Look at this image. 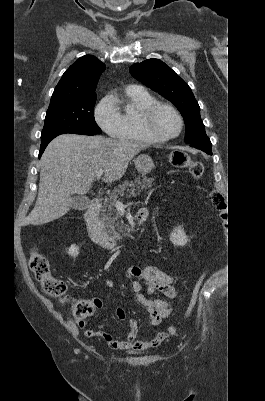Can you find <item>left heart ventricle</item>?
I'll list each match as a JSON object with an SVG mask.
<instances>
[{
    "instance_id": "1",
    "label": "left heart ventricle",
    "mask_w": 265,
    "mask_h": 401,
    "mask_svg": "<svg viewBox=\"0 0 265 401\" xmlns=\"http://www.w3.org/2000/svg\"><path fill=\"white\" fill-rule=\"evenodd\" d=\"M179 120L169 110L159 108L150 119V130L154 137L164 139L174 136L179 131Z\"/></svg>"
}]
</instances>
